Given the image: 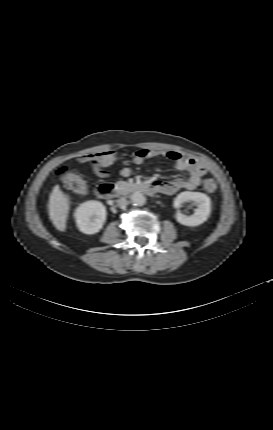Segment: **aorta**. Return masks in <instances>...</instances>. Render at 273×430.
<instances>
[{"instance_id": "aorta-1", "label": "aorta", "mask_w": 273, "mask_h": 430, "mask_svg": "<svg viewBox=\"0 0 273 430\" xmlns=\"http://www.w3.org/2000/svg\"><path fill=\"white\" fill-rule=\"evenodd\" d=\"M131 201L135 206H143L146 203V198L142 193L135 192L131 195Z\"/></svg>"}]
</instances>
